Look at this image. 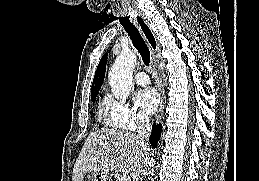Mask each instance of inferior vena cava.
<instances>
[{
  "label": "inferior vena cava",
  "instance_id": "obj_1",
  "mask_svg": "<svg viewBox=\"0 0 259 181\" xmlns=\"http://www.w3.org/2000/svg\"><path fill=\"white\" fill-rule=\"evenodd\" d=\"M151 131H152V127H151L149 118L145 115H141L139 117V125H138L136 136L144 150L149 149L147 140L151 134Z\"/></svg>",
  "mask_w": 259,
  "mask_h": 181
}]
</instances>
